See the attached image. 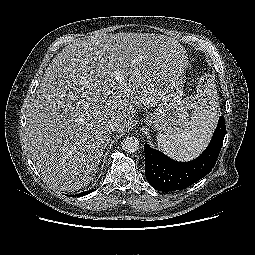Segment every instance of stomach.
<instances>
[{
    "mask_svg": "<svg viewBox=\"0 0 255 255\" xmlns=\"http://www.w3.org/2000/svg\"><path fill=\"white\" fill-rule=\"evenodd\" d=\"M185 79L186 69L176 77L174 83L165 87L156 110L146 117V124L168 135L191 130L187 107L182 99Z\"/></svg>",
    "mask_w": 255,
    "mask_h": 255,
    "instance_id": "1",
    "label": "stomach"
}]
</instances>
